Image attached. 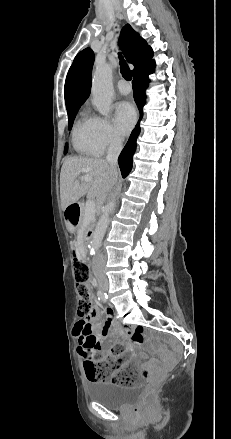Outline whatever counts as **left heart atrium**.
<instances>
[{
	"label": "left heart atrium",
	"mask_w": 231,
	"mask_h": 439,
	"mask_svg": "<svg viewBox=\"0 0 231 439\" xmlns=\"http://www.w3.org/2000/svg\"><path fill=\"white\" fill-rule=\"evenodd\" d=\"M114 121L122 134H128L136 121V111L127 101L118 102L114 107Z\"/></svg>",
	"instance_id": "39dd6f15"
}]
</instances>
